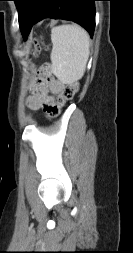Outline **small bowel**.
I'll return each mask as SVG.
<instances>
[{
    "label": "small bowel",
    "mask_w": 133,
    "mask_h": 253,
    "mask_svg": "<svg viewBox=\"0 0 133 253\" xmlns=\"http://www.w3.org/2000/svg\"><path fill=\"white\" fill-rule=\"evenodd\" d=\"M51 63H44L40 69H35V74H41L32 80L29 86L30 95L26 99L27 107L32 111L43 110L47 116H52L56 100L64 91V84L50 77L46 71H50Z\"/></svg>",
    "instance_id": "small-bowel-1"
}]
</instances>
